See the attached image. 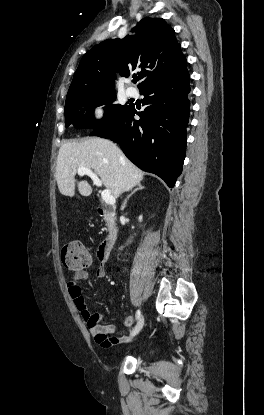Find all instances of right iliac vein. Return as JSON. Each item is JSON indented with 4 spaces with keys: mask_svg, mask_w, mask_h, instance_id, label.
Returning <instances> with one entry per match:
<instances>
[{
    "mask_svg": "<svg viewBox=\"0 0 264 415\" xmlns=\"http://www.w3.org/2000/svg\"><path fill=\"white\" fill-rule=\"evenodd\" d=\"M143 325H144V317L142 316L139 319V321L137 322L136 326L131 331L130 336L131 337L136 336L141 331V329L143 328Z\"/></svg>",
    "mask_w": 264,
    "mask_h": 415,
    "instance_id": "1",
    "label": "right iliac vein"
}]
</instances>
